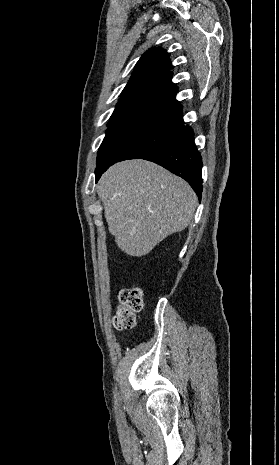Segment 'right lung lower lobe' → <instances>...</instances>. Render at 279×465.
I'll return each mask as SVG.
<instances>
[{
  "label": "right lung lower lobe",
  "instance_id": "right-lung-lower-lobe-1",
  "mask_svg": "<svg viewBox=\"0 0 279 465\" xmlns=\"http://www.w3.org/2000/svg\"><path fill=\"white\" fill-rule=\"evenodd\" d=\"M143 159L155 162L185 179L197 194L202 193V158L194 144V133L189 126H181L176 139L169 145L147 155ZM109 166L97 168L96 182Z\"/></svg>",
  "mask_w": 279,
  "mask_h": 465
}]
</instances>
